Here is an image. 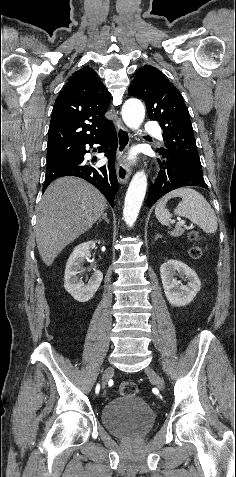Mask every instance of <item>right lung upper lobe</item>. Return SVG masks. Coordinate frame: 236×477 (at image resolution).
Instances as JSON below:
<instances>
[{
	"label": "right lung upper lobe",
	"mask_w": 236,
	"mask_h": 477,
	"mask_svg": "<svg viewBox=\"0 0 236 477\" xmlns=\"http://www.w3.org/2000/svg\"><path fill=\"white\" fill-rule=\"evenodd\" d=\"M110 100V93L92 68L85 66L73 73L53 107L47 166L63 162L111 124L104 117ZM54 158L60 160L52 161Z\"/></svg>",
	"instance_id": "obj_1"
}]
</instances>
